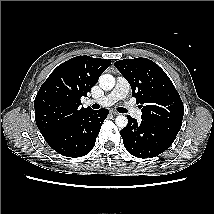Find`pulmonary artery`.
Segmentation results:
<instances>
[{"label":"pulmonary artery","mask_w":214,"mask_h":214,"mask_svg":"<svg viewBox=\"0 0 214 214\" xmlns=\"http://www.w3.org/2000/svg\"><path fill=\"white\" fill-rule=\"evenodd\" d=\"M129 89L130 85L127 80L122 76H118L116 79L115 87L109 94L98 99L91 100L90 102H95L104 107L111 106L118 100L125 99L129 92ZM124 106L129 114L134 118L140 119L142 117V111L133 106L131 103L125 102Z\"/></svg>","instance_id":"e3ab8cb5"}]
</instances>
